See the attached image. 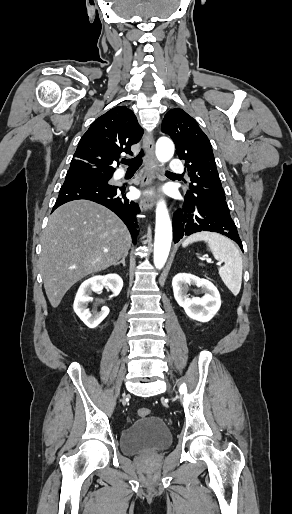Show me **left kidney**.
Returning a JSON list of instances; mask_svg holds the SVG:
<instances>
[{"label": "left kidney", "mask_w": 292, "mask_h": 514, "mask_svg": "<svg viewBox=\"0 0 292 514\" xmlns=\"http://www.w3.org/2000/svg\"><path fill=\"white\" fill-rule=\"evenodd\" d=\"M202 288L203 298H189V286ZM174 298L184 308L187 316L197 322H209L217 314L220 306V294L209 280H201L192 274H177L172 280Z\"/></svg>", "instance_id": "left-kidney-1"}]
</instances>
